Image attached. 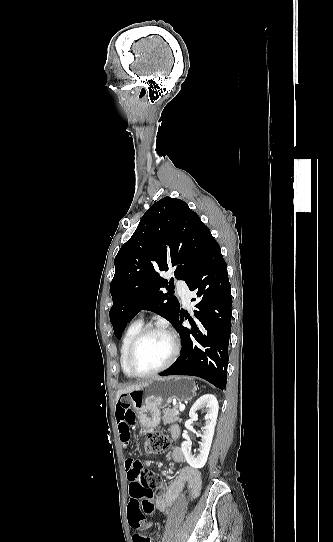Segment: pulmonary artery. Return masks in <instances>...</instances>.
<instances>
[{
	"label": "pulmonary artery",
	"instance_id": "1",
	"mask_svg": "<svg viewBox=\"0 0 333 542\" xmlns=\"http://www.w3.org/2000/svg\"><path fill=\"white\" fill-rule=\"evenodd\" d=\"M176 287H177V290L179 291V294L182 296L181 297L182 302L185 305H188L190 301L187 296L190 294V289L186 286V283L182 281L178 282Z\"/></svg>",
	"mask_w": 333,
	"mask_h": 542
}]
</instances>
